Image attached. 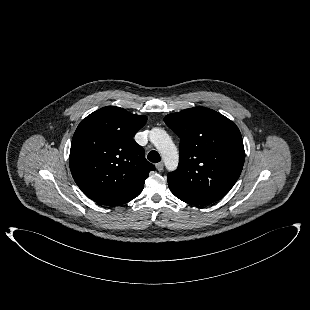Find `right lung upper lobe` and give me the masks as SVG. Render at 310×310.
<instances>
[{
  "label": "right lung upper lobe",
  "mask_w": 310,
  "mask_h": 310,
  "mask_svg": "<svg viewBox=\"0 0 310 310\" xmlns=\"http://www.w3.org/2000/svg\"><path fill=\"white\" fill-rule=\"evenodd\" d=\"M146 121L144 115L107 106L80 122L69 165L76 184L91 200L119 206L141 193L149 172L155 169L133 139Z\"/></svg>",
  "instance_id": "obj_1"
}]
</instances>
